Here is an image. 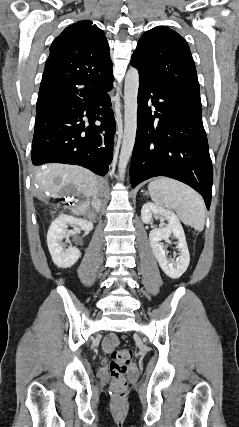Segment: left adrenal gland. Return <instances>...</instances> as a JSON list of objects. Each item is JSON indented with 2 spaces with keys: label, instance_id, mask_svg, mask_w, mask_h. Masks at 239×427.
Instances as JSON below:
<instances>
[{
  "label": "left adrenal gland",
  "instance_id": "obj_1",
  "mask_svg": "<svg viewBox=\"0 0 239 427\" xmlns=\"http://www.w3.org/2000/svg\"><path fill=\"white\" fill-rule=\"evenodd\" d=\"M143 195H148V193H147V192H145Z\"/></svg>",
  "mask_w": 239,
  "mask_h": 427
}]
</instances>
